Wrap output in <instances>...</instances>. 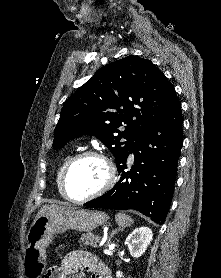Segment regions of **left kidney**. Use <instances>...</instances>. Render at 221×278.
Here are the masks:
<instances>
[{
	"label": "left kidney",
	"mask_w": 221,
	"mask_h": 278,
	"mask_svg": "<svg viewBox=\"0 0 221 278\" xmlns=\"http://www.w3.org/2000/svg\"><path fill=\"white\" fill-rule=\"evenodd\" d=\"M152 230L148 227L136 228L126 239V244L132 257H140L152 241ZM117 278H122L123 273L116 272Z\"/></svg>",
	"instance_id": "left-kidney-1"
}]
</instances>
